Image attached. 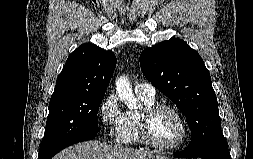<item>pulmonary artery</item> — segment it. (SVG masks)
<instances>
[{
  "mask_svg": "<svg viewBox=\"0 0 253 159\" xmlns=\"http://www.w3.org/2000/svg\"><path fill=\"white\" fill-rule=\"evenodd\" d=\"M135 92L137 95H144L148 97H155L156 95L155 87L151 83L147 82L137 84Z\"/></svg>",
  "mask_w": 253,
  "mask_h": 159,
  "instance_id": "pulmonary-artery-1",
  "label": "pulmonary artery"
}]
</instances>
